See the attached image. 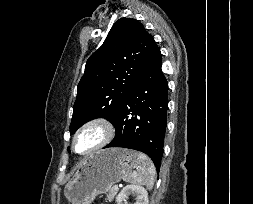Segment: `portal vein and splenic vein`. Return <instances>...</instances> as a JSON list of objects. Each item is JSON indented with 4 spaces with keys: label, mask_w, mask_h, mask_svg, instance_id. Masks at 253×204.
Here are the masks:
<instances>
[{
    "label": "portal vein and splenic vein",
    "mask_w": 253,
    "mask_h": 204,
    "mask_svg": "<svg viewBox=\"0 0 253 204\" xmlns=\"http://www.w3.org/2000/svg\"><path fill=\"white\" fill-rule=\"evenodd\" d=\"M114 188H115V189H118V186H117V185H114Z\"/></svg>",
    "instance_id": "obj_1"
}]
</instances>
